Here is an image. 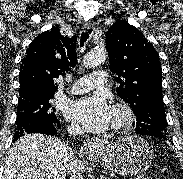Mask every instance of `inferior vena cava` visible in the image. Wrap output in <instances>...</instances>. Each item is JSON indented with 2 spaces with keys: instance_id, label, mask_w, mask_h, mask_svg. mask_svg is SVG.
<instances>
[{
  "instance_id": "1",
  "label": "inferior vena cava",
  "mask_w": 183,
  "mask_h": 179,
  "mask_svg": "<svg viewBox=\"0 0 183 179\" xmlns=\"http://www.w3.org/2000/svg\"><path fill=\"white\" fill-rule=\"evenodd\" d=\"M71 134H77L78 130L71 129ZM82 164L78 162L76 159H72L68 165V174L70 175V179H83L81 172H82Z\"/></svg>"
}]
</instances>
